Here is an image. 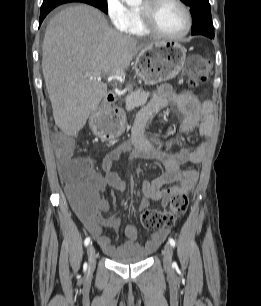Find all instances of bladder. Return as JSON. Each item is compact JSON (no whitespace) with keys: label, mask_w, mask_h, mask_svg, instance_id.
Listing matches in <instances>:
<instances>
[{"label":"bladder","mask_w":261,"mask_h":306,"mask_svg":"<svg viewBox=\"0 0 261 306\" xmlns=\"http://www.w3.org/2000/svg\"><path fill=\"white\" fill-rule=\"evenodd\" d=\"M148 255L145 253H141L138 255H130V256H123V257H112V261L116 264L120 265H131L137 264L146 261Z\"/></svg>","instance_id":"obj_1"}]
</instances>
